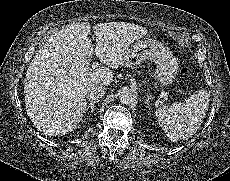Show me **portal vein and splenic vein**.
Listing matches in <instances>:
<instances>
[{
    "instance_id": "obj_1",
    "label": "portal vein and splenic vein",
    "mask_w": 230,
    "mask_h": 181,
    "mask_svg": "<svg viewBox=\"0 0 230 181\" xmlns=\"http://www.w3.org/2000/svg\"><path fill=\"white\" fill-rule=\"evenodd\" d=\"M98 66H99V64L97 62H94L93 65H92L93 68H96Z\"/></svg>"
}]
</instances>
